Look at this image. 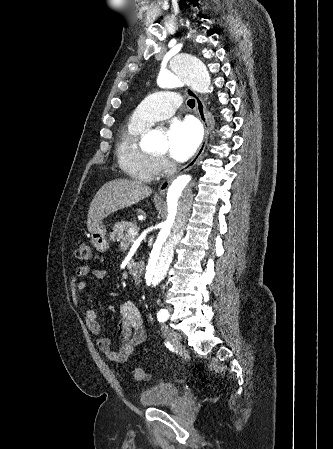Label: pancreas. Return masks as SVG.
<instances>
[{"label": "pancreas", "instance_id": "obj_1", "mask_svg": "<svg viewBox=\"0 0 333 449\" xmlns=\"http://www.w3.org/2000/svg\"><path fill=\"white\" fill-rule=\"evenodd\" d=\"M131 227L135 229L137 228V226L131 222L127 221L117 222L113 227L111 239L117 242H120L122 240L123 243L125 242L128 245L132 244L136 239V235L133 236L129 234V229Z\"/></svg>", "mask_w": 333, "mask_h": 449}]
</instances>
